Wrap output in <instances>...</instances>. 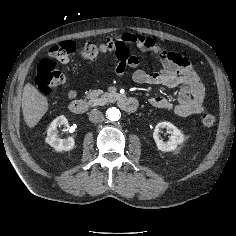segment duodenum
I'll use <instances>...</instances> for the list:
<instances>
[{
	"label": "duodenum",
	"mask_w": 236,
	"mask_h": 236,
	"mask_svg": "<svg viewBox=\"0 0 236 236\" xmlns=\"http://www.w3.org/2000/svg\"><path fill=\"white\" fill-rule=\"evenodd\" d=\"M119 107L128 113H133L138 108V101L133 97L122 96L118 99ZM92 103L85 99H75L70 103V110L75 114H82L86 112Z\"/></svg>",
	"instance_id": "duodenum-1"
}]
</instances>
